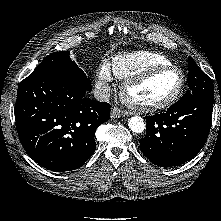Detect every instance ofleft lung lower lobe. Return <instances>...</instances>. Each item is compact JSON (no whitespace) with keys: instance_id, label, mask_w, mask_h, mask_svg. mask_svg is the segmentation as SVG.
I'll return each instance as SVG.
<instances>
[{"instance_id":"0a47b994","label":"left lung lower lobe","mask_w":221,"mask_h":221,"mask_svg":"<svg viewBox=\"0 0 221 221\" xmlns=\"http://www.w3.org/2000/svg\"><path fill=\"white\" fill-rule=\"evenodd\" d=\"M213 111V98L194 95L179 100L161 114L146 116L140 149L155 165L172 167L191 160L204 146Z\"/></svg>"}]
</instances>
